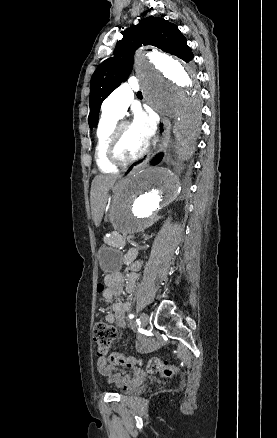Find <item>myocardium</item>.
<instances>
[{"label": "myocardium", "instance_id": "f54148a6", "mask_svg": "<svg viewBox=\"0 0 277 438\" xmlns=\"http://www.w3.org/2000/svg\"><path fill=\"white\" fill-rule=\"evenodd\" d=\"M129 125H131V123L128 121H120L116 123L108 140L107 149H106L107 157L108 160L116 166L126 167L134 164L144 156L147 150L146 145H144L142 151L135 157L125 158L121 155L120 153L121 133L124 127Z\"/></svg>", "mask_w": 277, "mask_h": 438}]
</instances>
